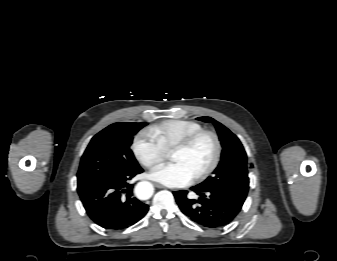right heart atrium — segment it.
<instances>
[{"mask_svg":"<svg viewBox=\"0 0 337 261\" xmlns=\"http://www.w3.org/2000/svg\"><path fill=\"white\" fill-rule=\"evenodd\" d=\"M133 152L136 158L147 168H151L162 162L167 152L155 138L146 130L140 131L133 141Z\"/></svg>","mask_w":337,"mask_h":261,"instance_id":"obj_1","label":"right heart atrium"}]
</instances>
